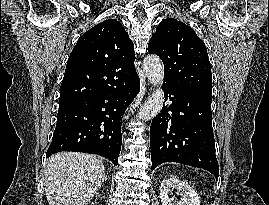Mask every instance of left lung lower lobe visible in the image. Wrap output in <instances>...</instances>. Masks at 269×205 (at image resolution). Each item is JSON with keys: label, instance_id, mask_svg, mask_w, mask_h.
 I'll return each mask as SVG.
<instances>
[{"label": "left lung lower lobe", "instance_id": "0a47b994", "mask_svg": "<svg viewBox=\"0 0 269 205\" xmlns=\"http://www.w3.org/2000/svg\"><path fill=\"white\" fill-rule=\"evenodd\" d=\"M172 101L153 118L150 127L151 169L164 162H177L219 176L212 130V92L183 91L163 84Z\"/></svg>", "mask_w": 269, "mask_h": 205}]
</instances>
